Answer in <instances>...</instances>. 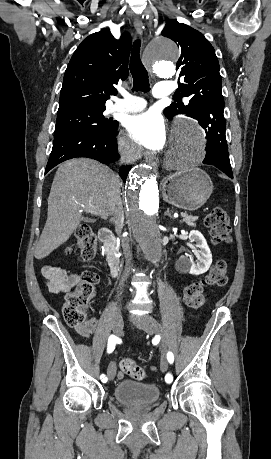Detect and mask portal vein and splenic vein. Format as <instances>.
Wrapping results in <instances>:
<instances>
[{
  "label": "portal vein and splenic vein",
  "mask_w": 271,
  "mask_h": 459,
  "mask_svg": "<svg viewBox=\"0 0 271 459\" xmlns=\"http://www.w3.org/2000/svg\"><path fill=\"white\" fill-rule=\"evenodd\" d=\"M79 212H83V210H79ZM100 216H106V214H100ZM184 216H185V217L187 216V215H186V212H181V213H180V217H184Z\"/></svg>",
  "instance_id": "1"
}]
</instances>
